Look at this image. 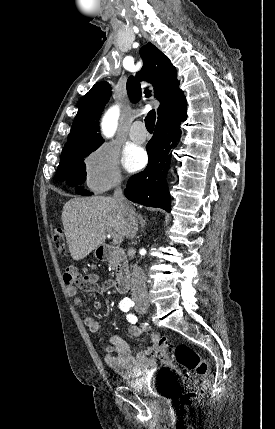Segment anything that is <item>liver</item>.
Wrapping results in <instances>:
<instances>
[{
    "label": "liver",
    "instance_id": "obj_1",
    "mask_svg": "<svg viewBox=\"0 0 275 429\" xmlns=\"http://www.w3.org/2000/svg\"><path fill=\"white\" fill-rule=\"evenodd\" d=\"M62 222L69 251L76 261L101 246L107 232L126 236L125 218L114 197L70 199L64 204Z\"/></svg>",
    "mask_w": 275,
    "mask_h": 429
}]
</instances>
